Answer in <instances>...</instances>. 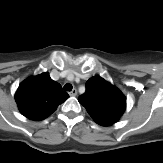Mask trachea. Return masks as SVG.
I'll list each match as a JSON object with an SVG mask.
<instances>
[{"instance_id": "obj_1", "label": "trachea", "mask_w": 163, "mask_h": 163, "mask_svg": "<svg viewBox=\"0 0 163 163\" xmlns=\"http://www.w3.org/2000/svg\"><path fill=\"white\" fill-rule=\"evenodd\" d=\"M72 88H73V87H72L71 84H65L64 87H63V89H64L65 91H71Z\"/></svg>"}]
</instances>
